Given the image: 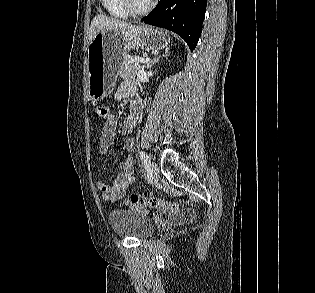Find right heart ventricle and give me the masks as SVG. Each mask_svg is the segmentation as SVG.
Masks as SVG:
<instances>
[{
    "instance_id": "e07e8e85",
    "label": "right heart ventricle",
    "mask_w": 315,
    "mask_h": 293,
    "mask_svg": "<svg viewBox=\"0 0 315 293\" xmlns=\"http://www.w3.org/2000/svg\"><path fill=\"white\" fill-rule=\"evenodd\" d=\"M103 9L105 12L117 19H126L129 17V13H127L122 6L120 5L119 0H100Z\"/></svg>"
}]
</instances>
